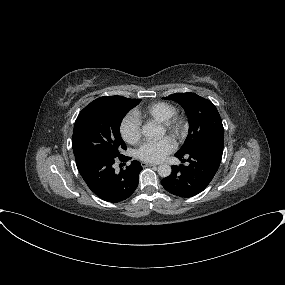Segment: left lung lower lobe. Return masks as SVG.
<instances>
[{
  "label": "left lung lower lobe",
  "instance_id": "obj_1",
  "mask_svg": "<svg viewBox=\"0 0 285 285\" xmlns=\"http://www.w3.org/2000/svg\"><path fill=\"white\" fill-rule=\"evenodd\" d=\"M223 154V137L207 140L185 154H175L188 166H172L170 176L161 181L171 194L179 197H192L202 192L216 174Z\"/></svg>",
  "mask_w": 285,
  "mask_h": 285
}]
</instances>
